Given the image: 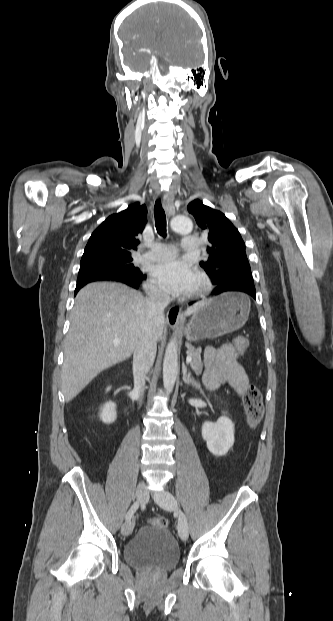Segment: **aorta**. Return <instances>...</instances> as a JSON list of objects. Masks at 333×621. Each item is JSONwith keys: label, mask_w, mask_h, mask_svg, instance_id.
<instances>
[{"label": "aorta", "mask_w": 333, "mask_h": 621, "mask_svg": "<svg viewBox=\"0 0 333 621\" xmlns=\"http://www.w3.org/2000/svg\"><path fill=\"white\" fill-rule=\"evenodd\" d=\"M171 228L173 231L181 234H189L192 231L193 224L187 217L176 216L171 220ZM178 374V352L177 343L171 340L166 348L163 361V384L167 393H171Z\"/></svg>", "instance_id": "1"}]
</instances>
